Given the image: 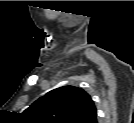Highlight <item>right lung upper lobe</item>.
Instances as JSON below:
<instances>
[{"label":"right lung upper lobe","instance_id":"obj_1","mask_svg":"<svg viewBox=\"0 0 134 123\" xmlns=\"http://www.w3.org/2000/svg\"><path fill=\"white\" fill-rule=\"evenodd\" d=\"M23 114L32 123H97L91 96L75 86H63L48 92Z\"/></svg>","mask_w":134,"mask_h":123}]
</instances>
